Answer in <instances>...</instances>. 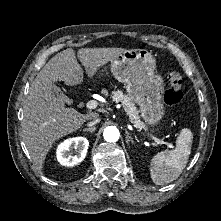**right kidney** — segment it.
<instances>
[{"instance_id": "right-kidney-1", "label": "right kidney", "mask_w": 221, "mask_h": 221, "mask_svg": "<svg viewBox=\"0 0 221 221\" xmlns=\"http://www.w3.org/2000/svg\"><path fill=\"white\" fill-rule=\"evenodd\" d=\"M89 146V141L84 137L69 138L60 145L56 150L58 162L63 166H74L84 160ZM75 149V155L70 152Z\"/></svg>"}]
</instances>
